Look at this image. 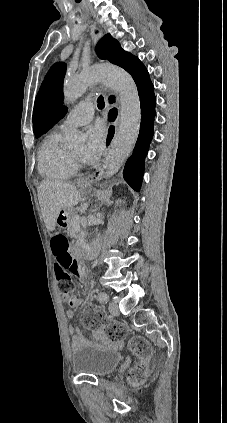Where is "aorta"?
I'll use <instances>...</instances> for the list:
<instances>
[{
    "mask_svg": "<svg viewBox=\"0 0 227 423\" xmlns=\"http://www.w3.org/2000/svg\"><path fill=\"white\" fill-rule=\"evenodd\" d=\"M95 82H103L119 95V128L103 166L105 177H110L118 172L138 138L141 122L140 99L135 82L125 70L115 66H95L78 75L66 77L65 103H74ZM83 141L84 136L75 129L71 130L66 138L69 147H77Z\"/></svg>",
    "mask_w": 227,
    "mask_h": 423,
    "instance_id": "1",
    "label": "aorta"
}]
</instances>
